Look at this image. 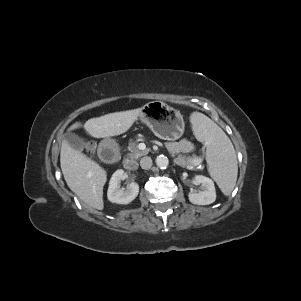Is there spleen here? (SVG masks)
I'll return each mask as SVG.
<instances>
[{"instance_id":"spleen-1","label":"spleen","mask_w":301,"mask_h":301,"mask_svg":"<svg viewBox=\"0 0 301 301\" xmlns=\"http://www.w3.org/2000/svg\"><path fill=\"white\" fill-rule=\"evenodd\" d=\"M190 121L197 138L205 142L210 176L224 195H230L238 174L236 153L231 140L216 123L200 112H193Z\"/></svg>"}]
</instances>
